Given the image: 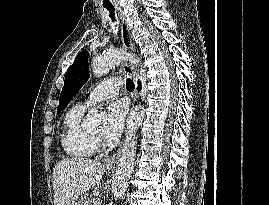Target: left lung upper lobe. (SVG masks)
I'll list each match as a JSON object with an SVG mask.
<instances>
[{
	"label": "left lung upper lobe",
	"instance_id": "obj_1",
	"mask_svg": "<svg viewBox=\"0 0 269 205\" xmlns=\"http://www.w3.org/2000/svg\"><path fill=\"white\" fill-rule=\"evenodd\" d=\"M88 79V52L82 51L76 56L74 63L66 72L64 86L62 88L59 106L57 108V114H59L68 105L71 99Z\"/></svg>",
	"mask_w": 269,
	"mask_h": 205
}]
</instances>
